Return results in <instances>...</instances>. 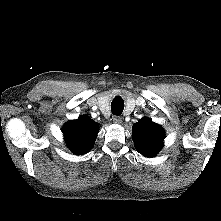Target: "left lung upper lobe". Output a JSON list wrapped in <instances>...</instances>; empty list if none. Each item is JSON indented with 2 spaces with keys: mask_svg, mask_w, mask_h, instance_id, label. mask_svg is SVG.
I'll list each match as a JSON object with an SVG mask.
<instances>
[{
  "mask_svg": "<svg viewBox=\"0 0 221 221\" xmlns=\"http://www.w3.org/2000/svg\"><path fill=\"white\" fill-rule=\"evenodd\" d=\"M132 132L136 149L146 157H153L163 146L164 130L146 117L133 126Z\"/></svg>",
  "mask_w": 221,
  "mask_h": 221,
  "instance_id": "5c2ea615",
  "label": "left lung upper lobe"
}]
</instances>
